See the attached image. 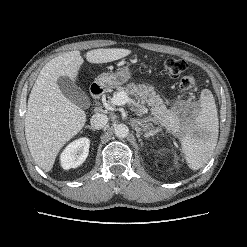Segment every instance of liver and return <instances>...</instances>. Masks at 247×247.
Instances as JSON below:
<instances>
[{"label": "liver", "instance_id": "obj_1", "mask_svg": "<svg viewBox=\"0 0 247 247\" xmlns=\"http://www.w3.org/2000/svg\"><path fill=\"white\" fill-rule=\"evenodd\" d=\"M131 50L95 49L86 53L89 63L102 64L128 56ZM84 60L80 51L59 55L41 69L28 99L25 136L35 163L49 172L60 149L83 128L86 113L65 97L57 80L68 76L74 82Z\"/></svg>", "mask_w": 247, "mask_h": 247}]
</instances>
